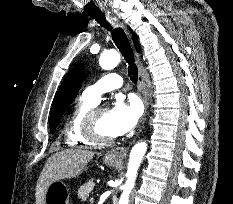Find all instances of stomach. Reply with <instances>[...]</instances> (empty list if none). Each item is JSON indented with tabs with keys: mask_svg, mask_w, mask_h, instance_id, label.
Listing matches in <instances>:
<instances>
[{
	"mask_svg": "<svg viewBox=\"0 0 233 204\" xmlns=\"http://www.w3.org/2000/svg\"><path fill=\"white\" fill-rule=\"evenodd\" d=\"M104 163L108 166L115 167L120 161L105 157ZM69 199L70 192L68 186L61 181H55L48 186L43 204H69Z\"/></svg>",
	"mask_w": 233,
	"mask_h": 204,
	"instance_id": "0dacf381",
	"label": "stomach"
}]
</instances>
